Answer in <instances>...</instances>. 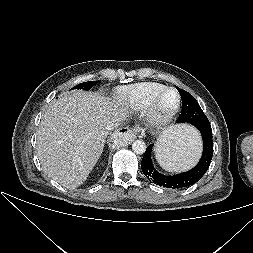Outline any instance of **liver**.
I'll return each mask as SVG.
<instances>
[{
	"label": "liver",
	"instance_id": "1",
	"mask_svg": "<svg viewBox=\"0 0 253 253\" xmlns=\"http://www.w3.org/2000/svg\"><path fill=\"white\" fill-rule=\"evenodd\" d=\"M127 117L122 103L91 92L59 96L45 111L37 131L43 171L68 189L79 187L103 152L107 126Z\"/></svg>",
	"mask_w": 253,
	"mask_h": 253
}]
</instances>
